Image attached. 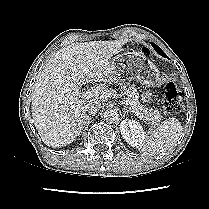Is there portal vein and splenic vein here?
<instances>
[{
	"label": "portal vein and splenic vein",
	"mask_w": 209,
	"mask_h": 209,
	"mask_svg": "<svg viewBox=\"0 0 209 209\" xmlns=\"http://www.w3.org/2000/svg\"><path fill=\"white\" fill-rule=\"evenodd\" d=\"M95 96V93H94V91H90V90H88L87 92H85L84 94H83V98L84 99H90V98H92V97H94ZM124 103L127 105V100L125 99L124 100Z\"/></svg>",
	"instance_id": "1"
}]
</instances>
